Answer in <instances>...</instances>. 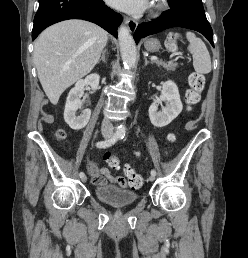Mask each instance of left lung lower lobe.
I'll use <instances>...</instances> for the list:
<instances>
[{"mask_svg": "<svg viewBox=\"0 0 248 258\" xmlns=\"http://www.w3.org/2000/svg\"><path fill=\"white\" fill-rule=\"evenodd\" d=\"M170 9L153 21L138 25L134 39L136 43L140 38L156 34L171 27H183L203 34L214 47L213 32L207 21L202 2L186 1L170 4Z\"/></svg>", "mask_w": 248, "mask_h": 258, "instance_id": "left-lung-lower-lobe-1", "label": "left lung lower lobe"}]
</instances>
